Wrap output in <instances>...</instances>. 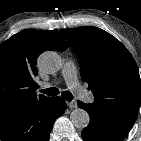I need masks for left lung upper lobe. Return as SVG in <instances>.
Masks as SVG:
<instances>
[{
    "label": "left lung upper lobe",
    "mask_w": 141,
    "mask_h": 141,
    "mask_svg": "<svg viewBox=\"0 0 141 141\" xmlns=\"http://www.w3.org/2000/svg\"><path fill=\"white\" fill-rule=\"evenodd\" d=\"M60 32L80 59L81 77L95 96L93 104L112 112L137 113L141 103L140 76L123 44L92 26Z\"/></svg>",
    "instance_id": "5c2ea615"
}]
</instances>
